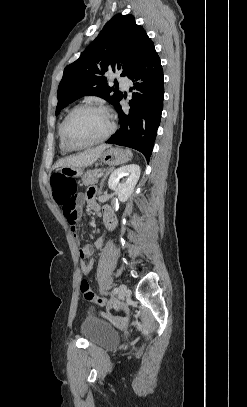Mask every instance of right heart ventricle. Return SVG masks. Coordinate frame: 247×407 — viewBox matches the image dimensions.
<instances>
[{"instance_id": "e07e8e85", "label": "right heart ventricle", "mask_w": 247, "mask_h": 407, "mask_svg": "<svg viewBox=\"0 0 247 407\" xmlns=\"http://www.w3.org/2000/svg\"><path fill=\"white\" fill-rule=\"evenodd\" d=\"M63 120H64V119H63ZM63 120L61 121V123H60L59 126H58V131H57V133H58V140H59V148H60V151H61V153L66 154V153L71 152L72 150L68 149V148L63 144L62 139H61V127H62V122H63Z\"/></svg>"}]
</instances>
